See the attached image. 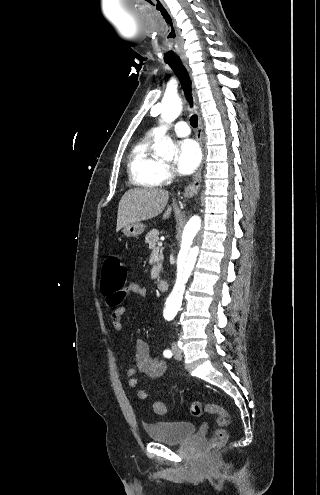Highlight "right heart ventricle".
<instances>
[{"label": "right heart ventricle", "instance_id": "right-heart-ventricle-1", "mask_svg": "<svg viewBox=\"0 0 320 495\" xmlns=\"http://www.w3.org/2000/svg\"><path fill=\"white\" fill-rule=\"evenodd\" d=\"M155 135L148 133L132 147L128 159L129 176L133 184L152 188L159 185L162 163L152 152Z\"/></svg>", "mask_w": 320, "mask_h": 495}]
</instances>
